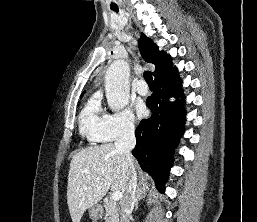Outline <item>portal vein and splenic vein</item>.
I'll list each match as a JSON object with an SVG mask.
<instances>
[{
	"instance_id": "portal-vein-and-splenic-vein-1",
	"label": "portal vein and splenic vein",
	"mask_w": 257,
	"mask_h": 222,
	"mask_svg": "<svg viewBox=\"0 0 257 222\" xmlns=\"http://www.w3.org/2000/svg\"><path fill=\"white\" fill-rule=\"evenodd\" d=\"M122 197H123V194H122V192H120V191H115V192H113L112 195H111V199H112L113 201H119V200L122 199Z\"/></svg>"
}]
</instances>
